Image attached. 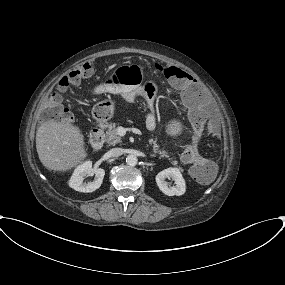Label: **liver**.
Segmentation results:
<instances>
[{"label": "liver", "instance_id": "liver-1", "mask_svg": "<svg viewBox=\"0 0 285 285\" xmlns=\"http://www.w3.org/2000/svg\"><path fill=\"white\" fill-rule=\"evenodd\" d=\"M84 136L68 120L44 122L36 132V149L43 166L64 172L87 157Z\"/></svg>", "mask_w": 285, "mask_h": 285}]
</instances>
